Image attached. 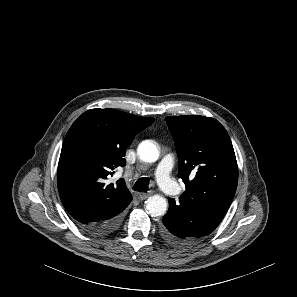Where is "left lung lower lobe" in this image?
I'll return each instance as SVG.
<instances>
[{"label":"left lung lower lobe","mask_w":297,"mask_h":297,"mask_svg":"<svg viewBox=\"0 0 297 297\" xmlns=\"http://www.w3.org/2000/svg\"><path fill=\"white\" fill-rule=\"evenodd\" d=\"M181 207L183 206L178 205L174 199L169 198V210L162 219L164 225L161 233L164 239L173 245L188 246L197 240L186 232V216Z\"/></svg>","instance_id":"obj_1"}]
</instances>
